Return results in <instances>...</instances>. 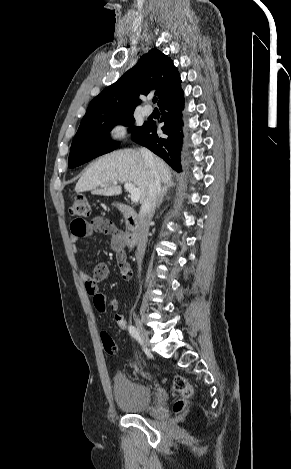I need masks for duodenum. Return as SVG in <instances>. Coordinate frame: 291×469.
Segmentation results:
<instances>
[{"label": "duodenum", "instance_id": "duodenum-1", "mask_svg": "<svg viewBox=\"0 0 291 469\" xmlns=\"http://www.w3.org/2000/svg\"><path fill=\"white\" fill-rule=\"evenodd\" d=\"M117 208L124 215L127 223L124 244L128 248H133L138 241L140 231L138 214L132 207L123 203H118Z\"/></svg>", "mask_w": 291, "mask_h": 469}]
</instances>
